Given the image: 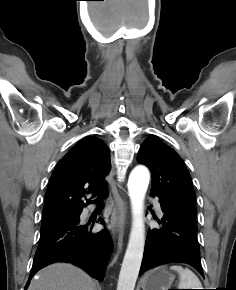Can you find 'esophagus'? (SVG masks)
I'll list each match as a JSON object with an SVG mask.
<instances>
[{
	"label": "esophagus",
	"mask_w": 236,
	"mask_h": 290,
	"mask_svg": "<svg viewBox=\"0 0 236 290\" xmlns=\"http://www.w3.org/2000/svg\"><path fill=\"white\" fill-rule=\"evenodd\" d=\"M126 215V204L122 203V207L119 206L118 203H116V206L114 208L112 217H111V230L113 234H117L124 223Z\"/></svg>",
	"instance_id": "obj_1"
}]
</instances>
